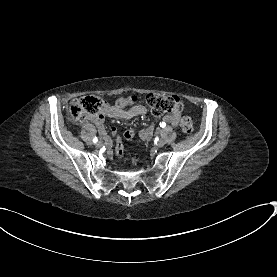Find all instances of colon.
Returning a JSON list of instances; mask_svg holds the SVG:
<instances>
[{"mask_svg": "<svg viewBox=\"0 0 277 277\" xmlns=\"http://www.w3.org/2000/svg\"><path fill=\"white\" fill-rule=\"evenodd\" d=\"M130 102L126 98L119 101L121 107L129 106ZM146 104L155 116H163L171 113H179L183 109L181 101L173 95H163L161 93H150L146 97ZM72 108L76 123H82L88 116L100 115L105 110V103L99 94H90L83 99H71ZM180 131L184 134H191L193 122L189 117H183L179 123ZM115 156H123V146L117 142L115 146Z\"/></svg>", "mask_w": 277, "mask_h": 277, "instance_id": "obj_1", "label": "colon"}]
</instances>
